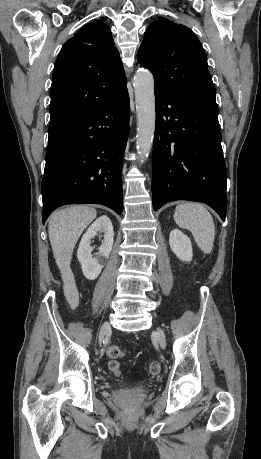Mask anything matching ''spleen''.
I'll use <instances>...</instances> for the list:
<instances>
[{"label": "spleen", "instance_id": "3e777b00", "mask_svg": "<svg viewBox=\"0 0 261 459\" xmlns=\"http://www.w3.org/2000/svg\"><path fill=\"white\" fill-rule=\"evenodd\" d=\"M174 220L180 228L191 231L197 246L203 253L212 252L215 225L210 212L202 204L187 202L177 205Z\"/></svg>", "mask_w": 261, "mask_h": 459}]
</instances>
